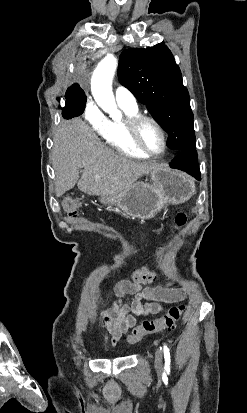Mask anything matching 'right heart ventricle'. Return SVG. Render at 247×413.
<instances>
[{
  "label": "right heart ventricle",
  "instance_id": "e07e8e85",
  "mask_svg": "<svg viewBox=\"0 0 247 413\" xmlns=\"http://www.w3.org/2000/svg\"><path fill=\"white\" fill-rule=\"evenodd\" d=\"M128 111V116L124 120L115 121L107 125V131L104 133L106 142L111 145L115 151H119V154L128 158L145 160L148 157L138 150L130 137V124L135 116L132 108L123 106Z\"/></svg>",
  "mask_w": 247,
  "mask_h": 413
}]
</instances>
